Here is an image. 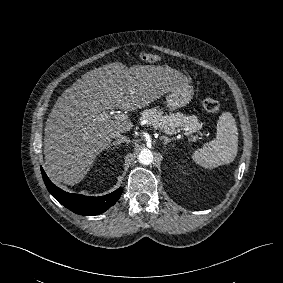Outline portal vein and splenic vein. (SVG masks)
<instances>
[{"mask_svg": "<svg viewBox=\"0 0 283 283\" xmlns=\"http://www.w3.org/2000/svg\"><path fill=\"white\" fill-rule=\"evenodd\" d=\"M111 116L109 114H107L106 112H103L101 113L99 116H98V119L99 120H105V119H110ZM112 118H114L115 120H119V121H126L128 119L127 115L123 114V113H116L112 116ZM188 130V129H186ZM163 132L165 133H168V134H173L175 132H167V131H164ZM192 140H195V138H191Z\"/></svg>", "mask_w": 283, "mask_h": 283, "instance_id": "18ae733b", "label": "portal vein and splenic vein"}]
</instances>
